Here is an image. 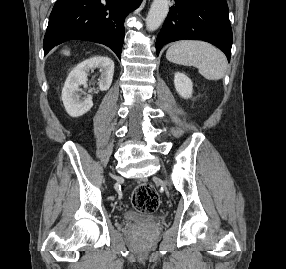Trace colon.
<instances>
[{"label": "colon", "mask_w": 286, "mask_h": 269, "mask_svg": "<svg viewBox=\"0 0 286 269\" xmlns=\"http://www.w3.org/2000/svg\"><path fill=\"white\" fill-rule=\"evenodd\" d=\"M132 204L139 212L153 213L160 206V198L151 184L141 183L133 191Z\"/></svg>", "instance_id": "1"}]
</instances>
